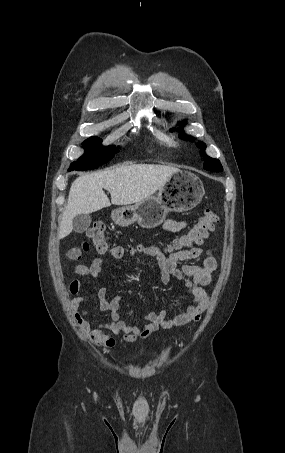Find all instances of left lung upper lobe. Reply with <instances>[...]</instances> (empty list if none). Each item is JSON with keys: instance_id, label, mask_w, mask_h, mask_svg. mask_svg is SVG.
Wrapping results in <instances>:
<instances>
[{"instance_id": "obj_1", "label": "left lung upper lobe", "mask_w": 285, "mask_h": 453, "mask_svg": "<svg viewBox=\"0 0 285 453\" xmlns=\"http://www.w3.org/2000/svg\"><path fill=\"white\" fill-rule=\"evenodd\" d=\"M181 124H183V122ZM179 131H181V130H179ZM180 137L182 139H184V140H189V141H194L195 140V138L191 137V136L180 135ZM196 145H197V147H199L201 149L200 153L204 157V165H203L204 169H206L208 171H214V172L223 171V167H222V165H221L219 160L211 158V157H208L204 153V150H205L206 146H205V144L203 142H198Z\"/></svg>"}]
</instances>
